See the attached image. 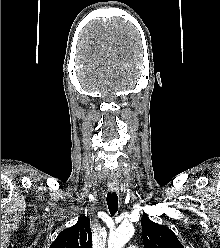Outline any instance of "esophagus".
Listing matches in <instances>:
<instances>
[{"label":"esophagus","instance_id":"34e87169","mask_svg":"<svg viewBox=\"0 0 220 248\" xmlns=\"http://www.w3.org/2000/svg\"><path fill=\"white\" fill-rule=\"evenodd\" d=\"M117 189H118V187H117L116 184H114V183L109 184V190H110L111 192H114V191H116Z\"/></svg>","mask_w":220,"mask_h":248}]
</instances>
